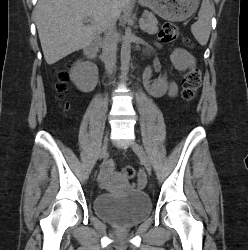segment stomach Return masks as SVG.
Listing matches in <instances>:
<instances>
[{"instance_id": "obj_1", "label": "stomach", "mask_w": 248, "mask_h": 250, "mask_svg": "<svg viewBox=\"0 0 248 250\" xmlns=\"http://www.w3.org/2000/svg\"><path fill=\"white\" fill-rule=\"evenodd\" d=\"M139 3L166 20L180 22L197 10L199 0H139Z\"/></svg>"}]
</instances>
